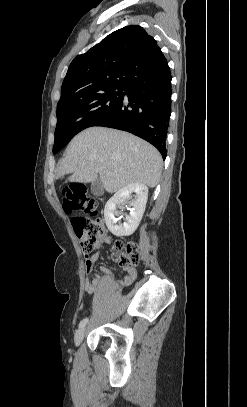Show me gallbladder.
I'll return each instance as SVG.
<instances>
[{"label":"gallbladder","instance_id":"bac80fb5","mask_svg":"<svg viewBox=\"0 0 247 407\" xmlns=\"http://www.w3.org/2000/svg\"><path fill=\"white\" fill-rule=\"evenodd\" d=\"M91 191L95 196H100L103 194V186L99 179H96L91 184Z\"/></svg>","mask_w":247,"mask_h":407}]
</instances>
